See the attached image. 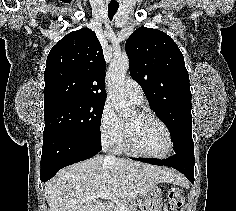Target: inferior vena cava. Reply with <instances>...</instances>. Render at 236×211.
<instances>
[{"label":"inferior vena cava","instance_id":"inferior-vena-cava-1","mask_svg":"<svg viewBox=\"0 0 236 211\" xmlns=\"http://www.w3.org/2000/svg\"><path fill=\"white\" fill-rule=\"evenodd\" d=\"M107 150H108V144H107V143L102 144V151H103V152H107ZM107 158H108V159H112V160L115 159V157L112 156V155H108Z\"/></svg>","mask_w":236,"mask_h":211}]
</instances>
